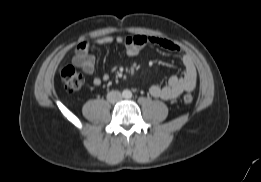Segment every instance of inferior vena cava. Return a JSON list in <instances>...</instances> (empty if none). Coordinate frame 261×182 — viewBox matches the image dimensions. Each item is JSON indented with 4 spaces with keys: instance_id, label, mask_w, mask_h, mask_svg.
Returning a JSON list of instances; mask_svg holds the SVG:
<instances>
[{
    "instance_id": "1",
    "label": "inferior vena cava",
    "mask_w": 261,
    "mask_h": 182,
    "mask_svg": "<svg viewBox=\"0 0 261 182\" xmlns=\"http://www.w3.org/2000/svg\"><path fill=\"white\" fill-rule=\"evenodd\" d=\"M122 99V95L119 91H111L107 94V100L111 103H116Z\"/></svg>"
}]
</instances>
